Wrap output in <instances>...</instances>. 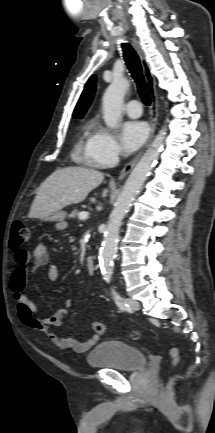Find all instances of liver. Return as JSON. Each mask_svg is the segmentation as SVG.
I'll list each match as a JSON object with an SVG mask.
<instances>
[{"instance_id": "1", "label": "liver", "mask_w": 215, "mask_h": 433, "mask_svg": "<svg viewBox=\"0 0 215 433\" xmlns=\"http://www.w3.org/2000/svg\"><path fill=\"white\" fill-rule=\"evenodd\" d=\"M104 180L98 170L72 166L57 169L38 188L29 217L45 219L70 204L82 202Z\"/></svg>"}]
</instances>
